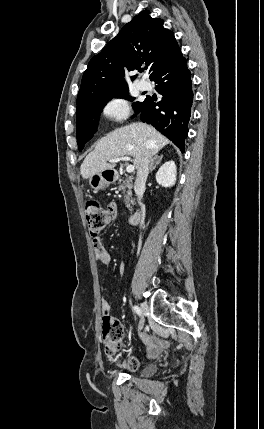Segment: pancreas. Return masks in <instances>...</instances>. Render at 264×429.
I'll return each instance as SVG.
<instances>
[{"instance_id":"cf45deb5","label":"pancreas","mask_w":264,"mask_h":429,"mask_svg":"<svg viewBox=\"0 0 264 429\" xmlns=\"http://www.w3.org/2000/svg\"><path fill=\"white\" fill-rule=\"evenodd\" d=\"M132 187L133 185H132L131 179L129 178L119 179L118 189L122 191L124 194L125 204L127 208H129L130 205L133 203Z\"/></svg>"}]
</instances>
